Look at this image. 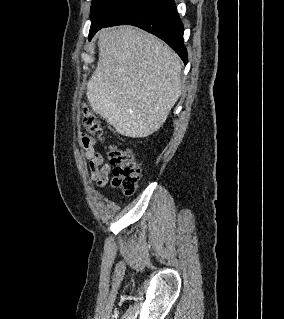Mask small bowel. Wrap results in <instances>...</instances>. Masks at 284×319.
Wrapping results in <instances>:
<instances>
[{
    "label": "small bowel",
    "instance_id": "obj_1",
    "mask_svg": "<svg viewBox=\"0 0 284 319\" xmlns=\"http://www.w3.org/2000/svg\"><path fill=\"white\" fill-rule=\"evenodd\" d=\"M80 145L83 150V157L89 165L90 179L99 188L106 186L109 181L111 166L105 163L104 156L101 153L95 151V140L86 134H82Z\"/></svg>",
    "mask_w": 284,
    "mask_h": 319
}]
</instances>
